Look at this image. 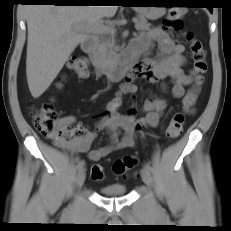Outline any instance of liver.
I'll list each match as a JSON object with an SVG mask.
<instances>
[{"label":"liver","mask_w":231,"mask_h":231,"mask_svg":"<svg viewBox=\"0 0 231 231\" xmlns=\"http://www.w3.org/2000/svg\"><path fill=\"white\" fill-rule=\"evenodd\" d=\"M28 28L26 75L34 98L51 85L86 35L111 18L117 6L29 5L24 8Z\"/></svg>","instance_id":"1"}]
</instances>
